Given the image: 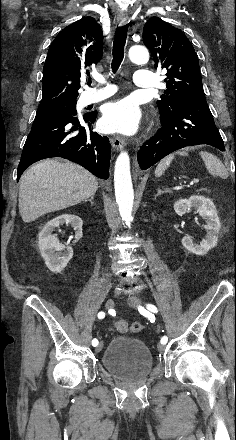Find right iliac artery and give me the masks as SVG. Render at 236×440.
<instances>
[{
  "mask_svg": "<svg viewBox=\"0 0 236 440\" xmlns=\"http://www.w3.org/2000/svg\"><path fill=\"white\" fill-rule=\"evenodd\" d=\"M105 317V313L104 312H99L98 313V318L99 319H103ZM92 345L93 346H97L98 345V340L97 339H93L92 340Z\"/></svg>",
  "mask_w": 236,
  "mask_h": 440,
  "instance_id": "1",
  "label": "right iliac artery"
}]
</instances>
